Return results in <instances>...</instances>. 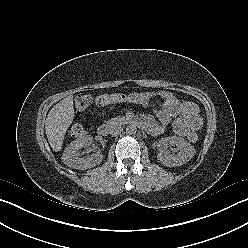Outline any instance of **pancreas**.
I'll list each match as a JSON object with an SVG mask.
<instances>
[{"instance_id":"pancreas-1","label":"pancreas","mask_w":248,"mask_h":248,"mask_svg":"<svg viewBox=\"0 0 248 248\" xmlns=\"http://www.w3.org/2000/svg\"><path fill=\"white\" fill-rule=\"evenodd\" d=\"M129 119L127 117H114L106 122V126L113 127L115 125H121L128 121Z\"/></svg>"}]
</instances>
